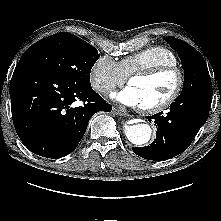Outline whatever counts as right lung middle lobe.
<instances>
[{
  "label": "right lung middle lobe",
  "mask_w": 221,
  "mask_h": 221,
  "mask_svg": "<svg viewBox=\"0 0 221 221\" xmlns=\"http://www.w3.org/2000/svg\"><path fill=\"white\" fill-rule=\"evenodd\" d=\"M100 57L96 48L67 32L46 37L28 48L19 63L44 68L60 78L91 86L90 72Z\"/></svg>",
  "instance_id": "obj_1"
}]
</instances>
